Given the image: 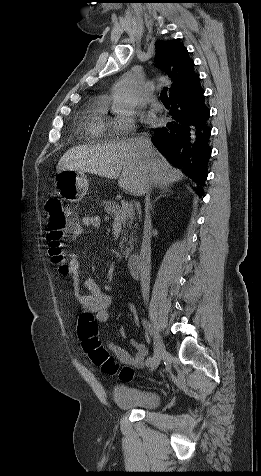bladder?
Here are the masks:
<instances>
[{"label":"bladder","instance_id":"obj_1","mask_svg":"<svg viewBox=\"0 0 261 476\" xmlns=\"http://www.w3.org/2000/svg\"><path fill=\"white\" fill-rule=\"evenodd\" d=\"M115 404L122 409L152 410L158 407L160 395L154 390L117 385L112 390Z\"/></svg>","mask_w":261,"mask_h":476}]
</instances>
